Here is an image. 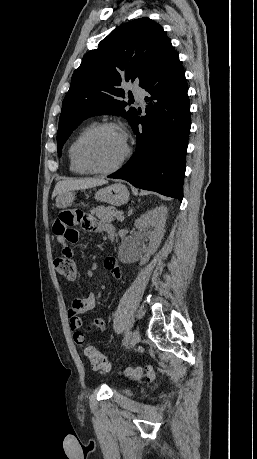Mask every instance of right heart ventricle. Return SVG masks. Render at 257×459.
Here are the masks:
<instances>
[{
	"mask_svg": "<svg viewBox=\"0 0 257 459\" xmlns=\"http://www.w3.org/2000/svg\"><path fill=\"white\" fill-rule=\"evenodd\" d=\"M88 128L82 129L76 137L72 140L68 147V161H69V169L71 172L77 174V175H87L89 172L83 169L77 162L76 156H75V147L77 144V141L79 138L82 136V134L87 130Z\"/></svg>",
	"mask_w": 257,
	"mask_h": 459,
	"instance_id": "right-heart-ventricle-1",
	"label": "right heart ventricle"
}]
</instances>
